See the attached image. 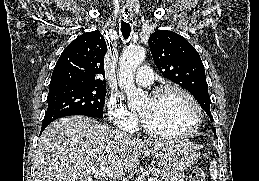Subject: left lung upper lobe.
<instances>
[{
	"label": "left lung upper lobe",
	"instance_id": "5c2ea615",
	"mask_svg": "<svg viewBox=\"0 0 259 181\" xmlns=\"http://www.w3.org/2000/svg\"><path fill=\"white\" fill-rule=\"evenodd\" d=\"M148 42L153 60L162 75L188 90L210 116L208 84L196 49L181 35L166 30L152 33ZM212 130L216 135L215 128Z\"/></svg>",
	"mask_w": 259,
	"mask_h": 181
}]
</instances>
